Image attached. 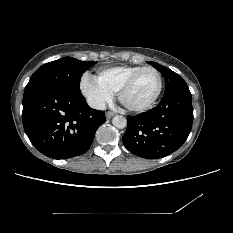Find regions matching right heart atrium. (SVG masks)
Instances as JSON below:
<instances>
[{
    "label": "right heart atrium",
    "mask_w": 233,
    "mask_h": 233,
    "mask_svg": "<svg viewBox=\"0 0 233 233\" xmlns=\"http://www.w3.org/2000/svg\"><path fill=\"white\" fill-rule=\"evenodd\" d=\"M81 91L89 104L97 109L103 108L112 99V95L88 75L82 78Z\"/></svg>",
    "instance_id": "obj_1"
}]
</instances>
